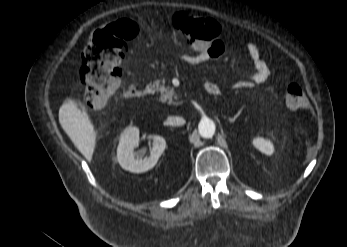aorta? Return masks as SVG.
<instances>
[{
  "label": "aorta",
  "mask_w": 347,
  "mask_h": 247,
  "mask_svg": "<svg viewBox=\"0 0 347 247\" xmlns=\"http://www.w3.org/2000/svg\"><path fill=\"white\" fill-rule=\"evenodd\" d=\"M200 135L204 138H211L215 133V123L211 119H202L199 123Z\"/></svg>",
  "instance_id": "762f6f07"
}]
</instances>
